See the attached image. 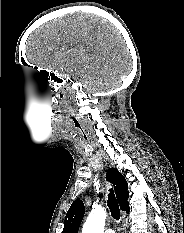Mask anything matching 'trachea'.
Returning a JSON list of instances; mask_svg holds the SVG:
<instances>
[{"instance_id":"obj_1","label":"trachea","mask_w":184,"mask_h":233,"mask_svg":"<svg viewBox=\"0 0 184 233\" xmlns=\"http://www.w3.org/2000/svg\"><path fill=\"white\" fill-rule=\"evenodd\" d=\"M84 137L86 138L85 134H84ZM107 203H108V207L110 209V212H111L113 219H115L116 221H119L120 209H119V205H118V202L116 200L115 194L113 192V189H109Z\"/></svg>"}]
</instances>
